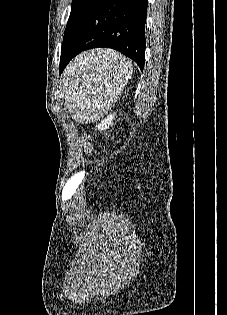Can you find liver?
<instances>
[{"mask_svg":"<svg viewBox=\"0 0 227 315\" xmlns=\"http://www.w3.org/2000/svg\"><path fill=\"white\" fill-rule=\"evenodd\" d=\"M103 49H97V50H94V51H102Z\"/></svg>","mask_w":227,"mask_h":315,"instance_id":"liver-1","label":"liver"}]
</instances>
